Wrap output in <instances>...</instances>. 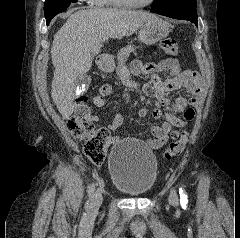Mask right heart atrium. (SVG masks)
Here are the masks:
<instances>
[{
  "mask_svg": "<svg viewBox=\"0 0 240 238\" xmlns=\"http://www.w3.org/2000/svg\"><path fill=\"white\" fill-rule=\"evenodd\" d=\"M87 4H90V5H101L104 0H81Z\"/></svg>",
  "mask_w": 240,
  "mask_h": 238,
  "instance_id": "right-heart-atrium-1",
  "label": "right heart atrium"
}]
</instances>
